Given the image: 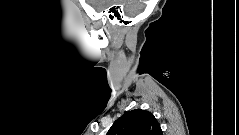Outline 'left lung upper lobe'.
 <instances>
[{"mask_svg": "<svg viewBox=\"0 0 239 135\" xmlns=\"http://www.w3.org/2000/svg\"><path fill=\"white\" fill-rule=\"evenodd\" d=\"M107 135H162V130L152 113L135 109L118 118Z\"/></svg>", "mask_w": 239, "mask_h": 135, "instance_id": "1", "label": "left lung upper lobe"}]
</instances>
